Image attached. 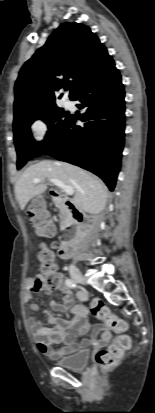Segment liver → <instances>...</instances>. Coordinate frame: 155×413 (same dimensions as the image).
<instances>
[{
  "instance_id": "obj_1",
  "label": "liver",
  "mask_w": 155,
  "mask_h": 413,
  "mask_svg": "<svg viewBox=\"0 0 155 413\" xmlns=\"http://www.w3.org/2000/svg\"><path fill=\"white\" fill-rule=\"evenodd\" d=\"M36 178H55L74 190L73 203L82 212L101 213L107 203L106 185L89 172L66 162L44 160L28 167L15 184V195L21 210L29 200L42 194L47 185L44 181L32 183Z\"/></svg>"
}]
</instances>
